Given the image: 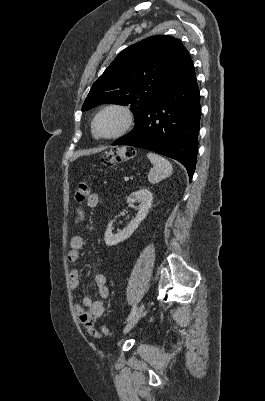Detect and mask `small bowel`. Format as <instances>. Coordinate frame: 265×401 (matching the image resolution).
Listing matches in <instances>:
<instances>
[{"mask_svg": "<svg viewBox=\"0 0 265 401\" xmlns=\"http://www.w3.org/2000/svg\"><path fill=\"white\" fill-rule=\"evenodd\" d=\"M99 204V195L92 193L87 200V206L95 208ZM84 213H80V219H82ZM70 251L68 253V260L70 262H77L80 258V252L84 247V238L80 235H75L70 240ZM70 285L72 289H77L79 286V271L72 269L69 273ZM94 282L97 286V293L101 299L109 297V288L107 285V276L103 273H97L94 276ZM75 313L77 314L80 322L84 324L88 329L93 328L94 321L101 318L105 313V306L101 300L94 301L90 297H84L82 304L75 305Z\"/></svg>", "mask_w": 265, "mask_h": 401, "instance_id": "small-bowel-1", "label": "small bowel"}]
</instances>
